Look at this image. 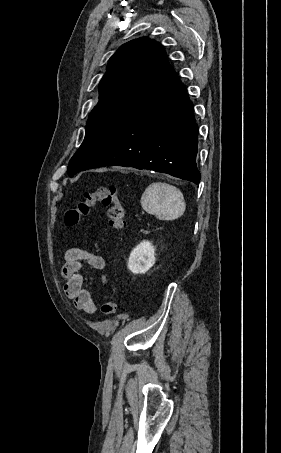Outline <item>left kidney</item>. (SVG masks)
Wrapping results in <instances>:
<instances>
[{
  "label": "left kidney",
  "mask_w": 281,
  "mask_h": 453,
  "mask_svg": "<svg viewBox=\"0 0 281 453\" xmlns=\"http://www.w3.org/2000/svg\"><path fill=\"white\" fill-rule=\"evenodd\" d=\"M155 249L150 241H142L137 245L129 257L127 263L129 271L132 273H146L155 263Z\"/></svg>",
  "instance_id": "1"
}]
</instances>
